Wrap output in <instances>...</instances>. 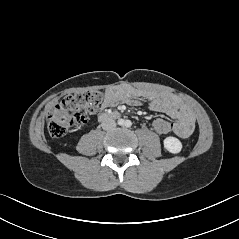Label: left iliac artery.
Wrapping results in <instances>:
<instances>
[{
  "mask_svg": "<svg viewBox=\"0 0 239 239\" xmlns=\"http://www.w3.org/2000/svg\"><path fill=\"white\" fill-rule=\"evenodd\" d=\"M131 125H132V123H131L130 120H127V121L125 122V126H126V127H130Z\"/></svg>",
  "mask_w": 239,
  "mask_h": 239,
  "instance_id": "obj_1",
  "label": "left iliac artery"
}]
</instances>
